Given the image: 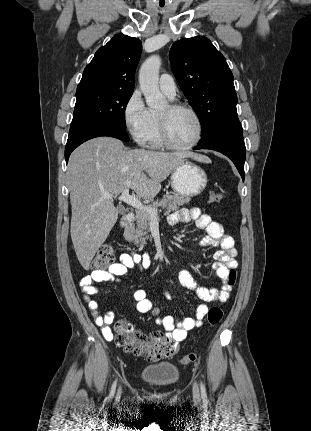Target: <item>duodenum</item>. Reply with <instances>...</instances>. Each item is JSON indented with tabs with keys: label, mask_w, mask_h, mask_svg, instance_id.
I'll return each instance as SVG.
<instances>
[{
	"label": "duodenum",
	"mask_w": 311,
	"mask_h": 431,
	"mask_svg": "<svg viewBox=\"0 0 311 431\" xmlns=\"http://www.w3.org/2000/svg\"><path fill=\"white\" fill-rule=\"evenodd\" d=\"M134 218H135V215L133 212L125 213L121 219V226L123 228L129 226L130 224L133 223Z\"/></svg>",
	"instance_id": "1"
}]
</instances>
